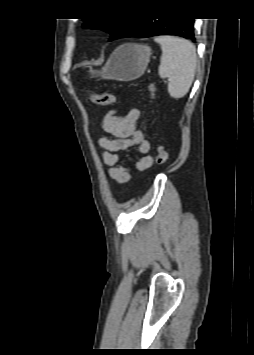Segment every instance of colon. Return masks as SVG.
I'll return each instance as SVG.
<instances>
[{
  "label": "colon",
  "mask_w": 254,
  "mask_h": 355,
  "mask_svg": "<svg viewBox=\"0 0 254 355\" xmlns=\"http://www.w3.org/2000/svg\"><path fill=\"white\" fill-rule=\"evenodd\" d=\"M150 98L153 99L155 95V88L153 85L149 86ZM89 101L92 104L99 106H110L116 101V97L111 92H101L97 94H91ZM168 160V153L162 146L156 148V163L159 165L165 164Z\"/></svg>",
  "instance_id": "obj_1"
}]
</instances>
